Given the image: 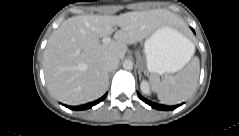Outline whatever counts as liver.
<instances>
[{
    "label": "liver",
    "instance_id": "liver-1",
    "mask_svg": "<svg viewBox=\"0 0 239 136\" xmlns=\"http://www.w3.org/2000/svg\"><path fill=\"white\" fill-rule=\"evenodd\" d=\"M181 20L164 9L133 11L119 16L81 15L65 20L51 35L44 50L43 69L49 91L69 105L100 98L109 84L104 58L123 59L127 45L140 42L165 24ZM115 32L108 44L100 38Z\"/></svg>",
    "mask_w": 239,
    "mask_h": 136
}]
</instances>
